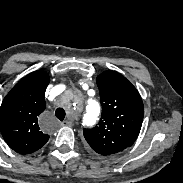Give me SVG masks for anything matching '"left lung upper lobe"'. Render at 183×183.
<instances>
[{
    "instance_id": "obj_1",
    "label": "left lung upper lobe",
    "mask_w": 183,
    "mask_h": 183,
    "mask_svg": "<svg viewBox=\"0 0 183 183\" xmlns=\"http://www.w3.org/2000/svg\"><path fill=\"white\" fill-rule=\"evenodd\" d=\"M102 105L101 119L83 134L90 147L100 155H114L137 139L144 107L137 89L123 75L104 71L96 79Z\"/></svg>"
}]
</instances>
